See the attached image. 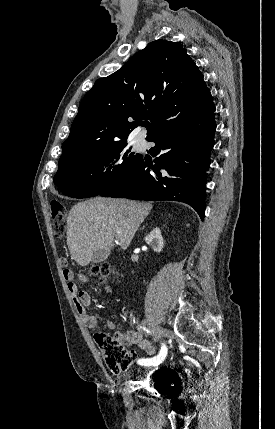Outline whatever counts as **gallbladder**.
<instances>
[{
  "label": "gallbladder",
  "instance_id": "1",
  "mask_svg": "<svg viewBox=\"0 0 275 429\" xmlns=\"http://www.w3.org/2000/svg\"><path fill=\"white\" fill-rule=\"evenodd\" d=\"M111 254L110 249H100L96 252H94L92 256V262L93 263H101L105 261Z\"/></svg>",
  "mask_w": 275,
  "mask_h": 429
}]
</instances>
